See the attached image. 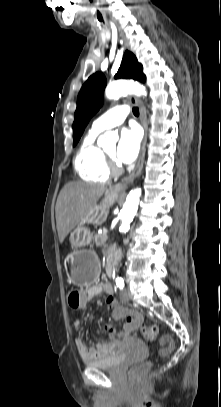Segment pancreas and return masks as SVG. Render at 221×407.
Here are the masks:
<instances>
[{
    "instance_id": "1",
    "label": "pancreas",
    "mask_w": 221,
    "mask_h": 407,
    "mask_svg": "<svg viewBox=\"0 0 221 407\" xmlns=\"http://www.w3.org/2000/svg\"><path fill=\"white\" fill-rule=\"evenodd\" d=\"M108 239L107 231L104 230L103 233L97 234L94 238L97 246H106V241Z\"/></svg>"
}]
</instances>
